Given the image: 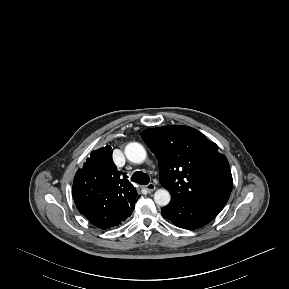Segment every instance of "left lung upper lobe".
Instances as JSON below:
<instances>
[{
  "mask_svg": "<svg viewBox=\"0 0 289 289\" xmlns=\"http://www.w3.org/2000/svg\"><path fill=\"white\" fill-rule=\"evenodd\" d=\"M141 136L159 162L171 198L190 199L220 212L233 187L228 160L198 130L181 125L146 129Z\"/></svg>",
  "mask_w": 289,
  "mask_h": 289,
  "instance_id": "1",
  "label": "left lung upper lobe"
}]
</instances>
